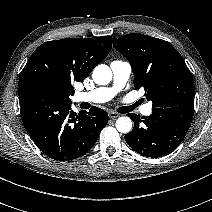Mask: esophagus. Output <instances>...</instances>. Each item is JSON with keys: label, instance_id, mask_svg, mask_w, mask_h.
I'll use <instances>...</instances> for the list:
<instances>
[{"label": "esophagus", "instance_id": "obj_1", "mask_svg": "<svg viewBox=\"0 0 212 212\" xmlns=\"http://www.w3.org/2000/svg\"><path fill=\"white\" fill-rule=\"evenodd\" d=\"M109 117H110L111 119H115V118L119 117V114L116 113V112H109Z\"/></svg>", "mask_w": 212, "mask_h": 212}]
</instances>
